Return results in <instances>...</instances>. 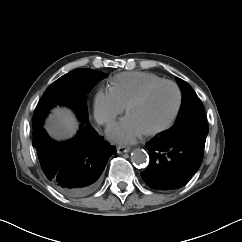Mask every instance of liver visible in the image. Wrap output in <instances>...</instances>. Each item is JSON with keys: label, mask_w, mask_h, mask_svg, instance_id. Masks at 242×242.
<instances>
[{"label": "liver", "mask_w": 242, "mask_h": 242, "mask_svg": "<svg viewBox=\"0 0 242 242\" xmlns=\"http://www.w3.org/2000/svg\"><path fill=\"white\" fill-rule=\"evenodd\" d=\"M48 130L56 137L64 138L72 136L77 129V122L71 112L58 109L47 121Z\"/></svg>", "instance_id": "liver-1"}]
</instances>
